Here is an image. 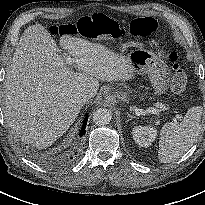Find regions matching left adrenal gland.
I'll return each instance as SVG.
<instances>
[{"label": "left adrenal gland", "mask_w": 205, "mask_h": 205, "mask_svg": "<svg viewBox=\"0 0 205 205\" xmlns=\"http://www.w3.org/2000/svg\"><path fill=\"white\" fill-rule=\"evenodd\" d=\"M128 115V120L127 121H131L133 118H136V116L131 115L130 113H127Z\"/></svg>", "instance_id": "1"}]
</instances>
